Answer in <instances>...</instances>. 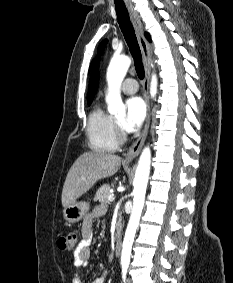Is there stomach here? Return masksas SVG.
Listing matches in <instances>:
<instances>
[{"instance_id": "0dacf381", "label": "stomach", "mask_w": 233, "mask_h": 283, "mask_svg": "<svg viewBox=\"0 0 233 283\" xmlns=\"http://www.w3.org/2000/svg\"><path fill=\"white\" fill-rule=\"evenodd\" d=\"M88 210V203L75 201L69 206L64 207L63 216L67 222L76 223L85 216Z\"/></svg>"}]
</instances>
